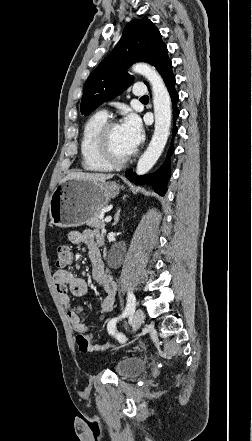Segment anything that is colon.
I'll use <instances>...</instances> for the list:
<instances>
[{
  "label": "colon",
  "mask_w": 252,
  "mask_h": 441,
  "mask_svg": "<svg viewBox=\"0 0 252 441\" xmlns=\"http://www.w3.org/2000/svg\"><path fill=\"white\" fill-rule=\"evenodd\" d=\"M72 255L70 249L66 245H60L57 248V261L56 264L59 268H63L71 263ZM76 341L81 352H89L90 351V336L89 332L81 331L78 332L76 336Z\"/></svg>",
  "instance_id": "obj_1"
}]
</instances>
